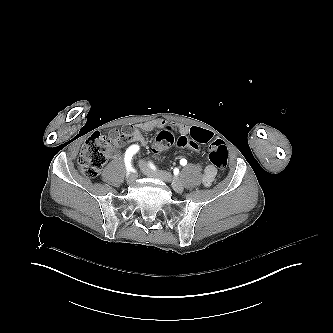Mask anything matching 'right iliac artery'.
<instances>
[{
	"label": "right iliac artery",
	"instance_id": "82829eb1",
	"mask_svg": "<svg viewBox=\"0 0 333 333\" xmlns=\"http://www.w3.org/2000/svg\"><path fill=\"white\" fill-rule=\"evenodd\" d=\"M139 150V146L137 145H132L130 146L125 153V165H126V169L127 171H131L132 167H131V159L132 156Z\"/></svg>",
	"mask_w": 333,
	"mask_h": 333
}]
</instances>
